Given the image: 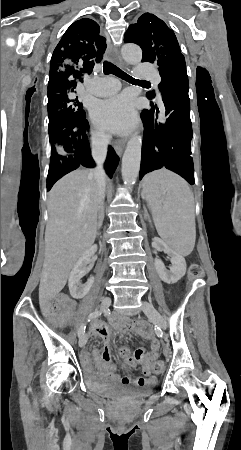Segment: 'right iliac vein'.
<instances>
[{
  "mask_svg": "<svg viewBox=\"0 0 241 450\" xmlns=\"http://www.w3.org/2000/svg\"><path fill=\"white\" fill-rule=\"evenodd\" d=\"M111 299L109 297H106L101 302V310L106 309L110 306ZM87 342V335L83 334L79 339V346L83 347Z\"/></svg>",
  "mask_w": 241,
  "mask_h": 450,
  "instance_id": "1",
  "label": "right iliac vein"
}]
</instances>
